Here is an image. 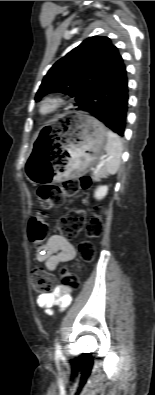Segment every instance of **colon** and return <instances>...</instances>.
Returning <instances> with one entry per match:
<instances>
[{
  "label": "colon",
  "instance_id": "5ec220e1",
  "mask_svg": "<svg viewBox=\"0 0 155 395\" xmlns=\"http://www.w3.org/2000/svg\"><path fill=\"white\" fill-rule=\"evenodd\" d=\"M89 176L79 179H69L59 184L42 185L37 190V197L43 209L50 210L61 206L67 197L76 195L81 189L90 185ZM58 229L62 236L67 238L76 237L83 229L86 240L79 244V256L81 261L90 262L95 258L96 250L91 239L99 238L104 230L102 209L96 207L88 222L81 210L68 211L58 222ZM47 234V225L40 218H33L28 224V237L31 243L41 244ZM59 273L64 288L76 289L79 287L78 266L70 272L69 268H60ZM33 289L38 294L49 292L55 285V277L44 269H35L32 273Z\"/></svg>",
  "mask_w": 155,
  "mask_h": 395
}]
</instances>
